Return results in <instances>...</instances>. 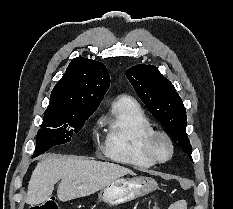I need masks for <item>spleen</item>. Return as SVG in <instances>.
I'll return each mask as SVG.
<instances>
[{
  "label": "spleen",
  "mask_w": 233,
  "mask_h": 209,
  "mask_svg": "<svg viewBox=\"0 0 233 209\" xmlns=\"http://www.w3.org/2000/svg\"><path fill=\"white\" fill-rule=\"evenodd\" d=\"M169 209H187V202L185 200L177 201Z\"/></svg>",
  "instance_id": "1"
}]
</instances>
